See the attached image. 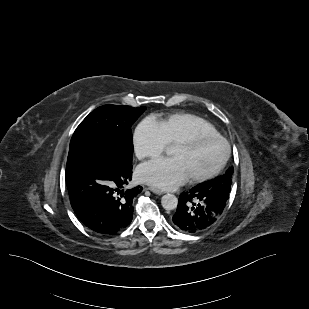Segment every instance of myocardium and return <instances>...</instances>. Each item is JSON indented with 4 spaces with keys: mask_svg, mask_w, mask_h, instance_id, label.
<instances>
[{
    "mask_svg": "<svg viewBox=\"0 0 309 309\" xmlns=\"http://www.w3.org/2000/svg\"><path fill=\"white\" fill-rule=\"evenodd\" d=\"M218 141L222 144L223 146V154L222 157L218 163V165L210 172L203 174V175H198V176H192L189 177L190 182L193 183H202L205 181H208L214 177H216L220 172L224 169L225 165L228 162V159L230 157V145L229 142L225 137H223L220 134H214V133H207V132H195L189 136H186L174 143L175 145H180V146H186V147H194L197 146L205 141Z\"/></svg>",
    "mask_w": 309,
    "mask_h": 309,
    "instance_id": "1",
    "label": "myocardium"
}]
</instances>
